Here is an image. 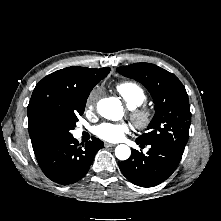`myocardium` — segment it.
Masks as SVG:
<instances>
[{"instance_id": "1", "label": "myocardium", "mask_w": 221, "mask_h": 221, "mask_svg": "<svg viewBox=\"0 0 221 221\" xmlns=\"http://www.w3.org/2000/svg\"><path fill=\"white\" fill-rule=\"evenodd\" d=\"M154 113L148 107L135 108L132 111V120L138 129H147L153 122Z\"/></svg>"}]
</instances>
